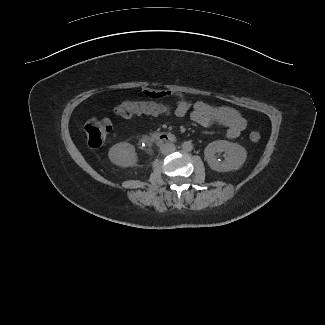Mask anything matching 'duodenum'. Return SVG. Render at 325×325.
<instances>
[{
	"mask_svg": "<svg viewBox=\"0 0 325 325\" xmlns=\"http://www.w3.org/2000/svg\"><path fill=\"white\" fill-rule=\"evenodd\" d=\"M152 140L161 144H172L176 141V137L172 133H157L153 135L150 139H145V141Z\"/></svg>",
	"mask_w": 325,
	"mask_h": 325,
	"instance_id": "obj_1",
	"label": "duodenum"
}]
</instances>
